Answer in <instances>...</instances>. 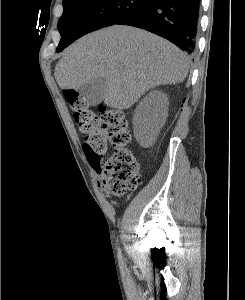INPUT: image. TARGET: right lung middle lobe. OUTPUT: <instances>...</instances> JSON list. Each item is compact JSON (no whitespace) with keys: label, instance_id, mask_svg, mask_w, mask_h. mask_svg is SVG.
<instances>
[{"label":"right lung middle lobe","instance_id":"1","mask_svg":"<svg viewBox=\"0 0 245 300\" xmlns=\"http://www.w3.org/2000/svg\"><path fill=\"white\" fill-rule=\"evenodd\" d=\"M151 0H63L58 22L61 40L57 52L81 36L111 26Z\"/></svg>","mask_w":245,"mask_h":300}]
</instances>
